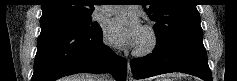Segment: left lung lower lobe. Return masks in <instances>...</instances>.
Wrapping results in <instances>:
<instances>
[{"label":"left lung lower lobe","mask_w":237,"mask_h":81,"mask_svg":"<svg viewBox=\"0 0 237 81\" xmlns=\"http://www.w3.org/2000/svg\"><path fill=\"white\" fill-rule=\"evenodd\" d=\"M130 64L135 79L182 72L212 81L203 32L181 34L164 43H157L152 54L132 59Z\"/></svg>","instance_id":"1"}]
</instances>
